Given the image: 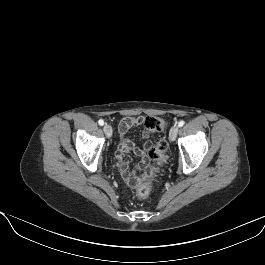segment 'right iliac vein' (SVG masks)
<instances>
[{
  "label": "right iliac vein",
  "instance_id": "obj_1",
  "mask_svg": "<svg viewBox=\"0 0 265 265\" xmlns=\"http://www.w3.org/2000/svg\"><path fill=\"white\" fill-rule=\"evenodd\" d=\"M105 135L110 138L112 136V127L108 124H105L103 127Z\"/></svg>",
  "mask_w": 265,
  "mask_h": 265
}]
</instances>
